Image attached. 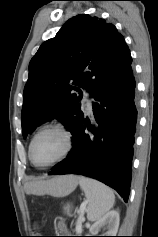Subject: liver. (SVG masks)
I'll use <instances>...</instances> for the list:
<instances>
[{"label": "liver", "instance_id": "obj_1", "mask_svg": "<svg viewBox=\"0 0 158 237\" xmlns=\"http://www.w3.org/2000/svg\"><path fill=\"white\" fill-rule=\"evenodd\" d=\"M80 180L79 176H57L49 180L27 182L24 189L27 194L58 196L64 192H72Z\"/></svg>", "mask_w": 158, "mask_h": 237}]
</instances>
